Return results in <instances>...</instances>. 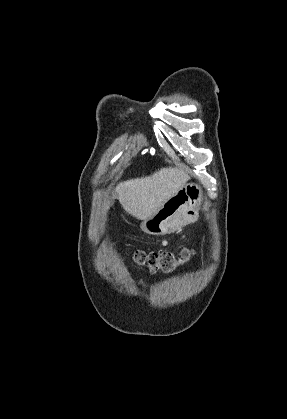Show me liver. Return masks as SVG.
Returning <instances> with one entry per match:
<instances>
[{
  "mask_svg": "<svg viewBox=\"0 0 287 419\" xmlns=\"http://www.w3.org/2000/svg\"><path fill=\"white\" fill-rule=\"evenodd\" d=\"M189 179L181 168H161L150 176L119 183L115 191L123 209L139 220L153 216Z\"/></svg>",
  "mask_w": 287,
  "mask_h": 419,
  "instance_id": "liver-1",
  "label": "liver"
}]
</instances>
